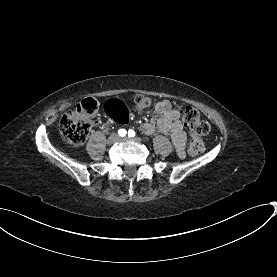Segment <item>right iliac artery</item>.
I'll use <instances>...</instances> for the list:
<instances>
[{
	"label": "right iliac artery",
	"instance_id": "obj_1",
	"mask_svg": "<svg viewBox=\"0 0 277 277\" xmlns=\"http://www.w3.org/2000/svg\"><path fill=\"white\" fill-rule=\"evenodd\" d=\"M118 134L119 136L124 137L127 134V131L125 129H119Z\"/></svg>",
	"mask_w": 277,
	"mask_h": 277
}]
</instances>
